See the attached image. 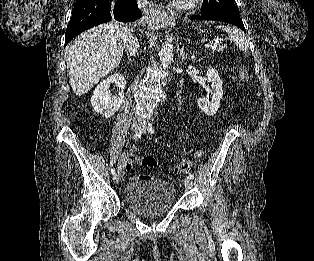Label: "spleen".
Wrapping results in <instances>:
<instances>
[{
    "mask_svg": "<svg viewBox=\"0 0 314 261\" xmlns=\"http://www.w3.org/2000/svg\"><path fill=\"white\" fill-rule=\"evenodd\" d=\"M218 28L227 32L230 39L237 45V47H239L240 50H242L243 52L248 51V41L239 29L225 25H220L218 26Z\"/></svg>",
    "mask_w": 314,
    "mask_h": 261,
    "instance_id": "3e777b00",
    "label": "spleen"
}]
</instances>
